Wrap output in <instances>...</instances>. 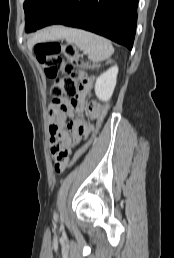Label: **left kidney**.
Listing matches in <instances>:
<instances>
[{
	"mask_svg": "<svg viewBox=\"0 0 174 258\" xmlns=\"http://www.w3.org/2000/svg\"><path fill=\"white\" fill-rule=\"evenodd\" d=\"M117 74L118 67L113 66L96 79L95 94L99 100H110L116 86Z\"/></svg>",
	"mask_w": 174,
	"mask_h": 258,
	"instance_id": "5707ae66",
	"label": "left kidney"
}]
</instances>
